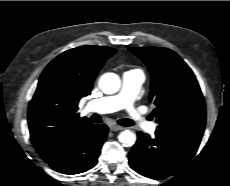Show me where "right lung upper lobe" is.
<instances>
[{
  "instance_id": "1",
  "label": "right lung upper lobe",
  "mask_w": 230,
  "mask_h": 186,
  "mask_svg": "<svg viewBox=\"0 0 230 186\" xmlns=\"http://www.w3.org/2000/svg\"><path fill=\"white\" fill-rule=\"evenodd\" d=\"M115 53L105 46H81L47 65L28 107L30 138L39 154L89 124L77 114L78 102L90 94L99 70Z\"/></svg>"
}]
</instances>
